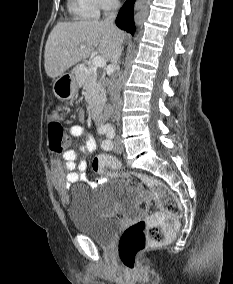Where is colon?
<instances>
[{
    "label": "colon",
    "instance_id": "1",
    "mask_svg": "<svg viewBox=\"0 0 233 284\" xmlns=\"http://www.w3.org/2000/svg\"><path fill=\"white\" fill-rule=\"evenodd\" d=\"M50 148L58 153L66 151L68 139L63 125L52 120L48 124ZM92 168L106 179L112 177L125 178L136 182L142 190L148 187L157 199L160 210L147 220L137 221L128 226L120 236L118 254L122 265L128 270H135L138 254L149 244H160L168 241L175 232L182 208L175 194L161 181L142 174L130 173L113 157L96 156Z\"/></svg>",
    "mask_w": 233,
    "mask_h": 284
}]
</instances>
